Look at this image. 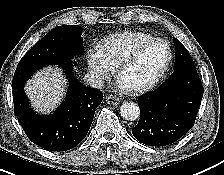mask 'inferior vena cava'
<instances>
[{
    "instance_id": "obj_1",
    "label": "inferior vena cava",
    "mask_w": 224,
    "mask_h": 175,
    "mask_svg": "<svg viewBox=\"0 0 224 175\" xmlns=\"http://www.w3.org/2000/svg\"><path fill=\"white\" fill-rule=\"evenodd\" d=\"M85 81L86 83L93 87V88H102L103 86V80L102 78L100 77V75L94 73V72H88L86 75H85Z\"/></svg>"
}]
</instances>
